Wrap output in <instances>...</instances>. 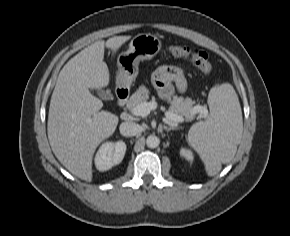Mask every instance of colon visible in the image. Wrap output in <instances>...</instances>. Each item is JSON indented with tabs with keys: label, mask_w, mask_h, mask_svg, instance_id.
I'll list each match as a JSON object with an SVG mask.
<instances>
[{
	"label": "colon",
	"mask_w": 290,
	"mask_h": 236,
	"mask_svg": "<svg viewBox=\"0 0 290 236\" xmlns=\"http://www.w3.org/2000/svg\"><path fill=\"white\" fill-rule=\"evenodd\" d=\"M171 53L178 58L190 60L204 74L209 75L213 71V66L207 53L201 50L193 49L188 46L174 45L171 47Z\"/></svg>",
	"instance_id": "obj_1"
}]
</instances>
